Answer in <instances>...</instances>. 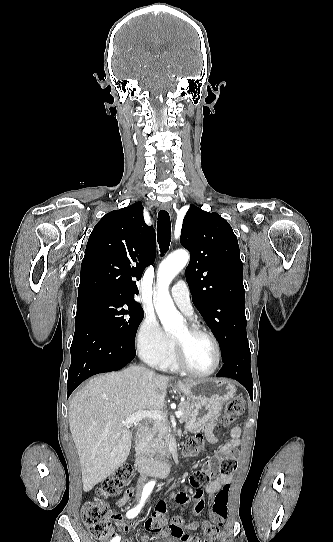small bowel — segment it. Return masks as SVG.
<instances>
[{"label": "small bowel", "instance_id": "small-bowel-1", "mask_svg": "<svg viewBox=\"0 0 333 542\" xmlns=\"http://www.w3.org/2000/svg\"><path fill=\"white\" fill-rule=\"evenodd\" d=\"M216 425L215 420L209 421L203 430L204 436L206 440L211 444H216L219 442V438L214 434L213 430ZM242 433V429L240 426L235 425L231 428L229 433V440L221 447L220 452L212 453L211 454V461L212 462H220V461H231L232 460V454L237 450V448L240 446V436ZM230 482V477L228 475H220L215 480L210 482L208 486L206 487V493L207 494H213L217 490H219L224 485H227ZM169 482L166 481L164 484H168ZM179 482H175L173 484L174 487L178 486ZM135 496V490L131 487L127 488L123 495L118 499L117 506L118 507H124L127 505V503ZM171 498L178 504H186L188 502V496L183 491H176L172 490L170 494ZM179 524L178 522H176ZM198 524L196 522H192L186 525V528L189 531H193L197 529ZM132 528L131 524L121 523L120 529L123 532H128ZM112 538L114 536L113 533L110 535ZM177 539V538H176ZM181 542V541H180Z\"/></svg>", "mask_w": 333, "mask_h": 542}]
</instances>
